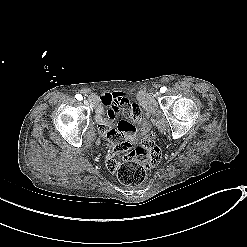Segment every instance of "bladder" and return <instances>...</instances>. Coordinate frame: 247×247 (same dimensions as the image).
Returning a JSON list of instances; mask_svg holds the SVG:
<instances>
[{
    "instance_id": "obj_1",
    "label": "bladder",
    "mask_w": 247,
    "mask_h": 247,
    "mask_svg": "<svg viewBox=\"0 0 247 247\" xmlns=\"http://www.w3.org/2000/svg\"><path fill=\"white\" fill-rule=\"evenodd\" d=\"M139 104L141 106V109L146 113L148 111V107L145 103L144 96L142 95H139ZM153 127H154V123L150 117L148 116L142 117L137 126L136 137H138V134H140V136L145 135V133Z\"/></svg>"
}]
</instances>
